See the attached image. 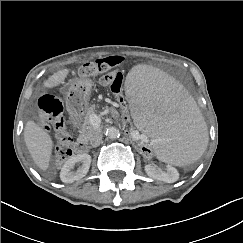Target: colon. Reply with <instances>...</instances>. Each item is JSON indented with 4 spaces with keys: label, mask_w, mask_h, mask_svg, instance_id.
I'll return each mask as SVG.
<instances>
[{
    "label": "colon",
    "mask_w": 243,
    "mask_h": 243,
    "mask_svg": "<svg viewBox=\"0 0 243 243\" xmlns=\"http://www.w3.org/2000/svg\"><path fill=\"white\" fill-rule=\"evenodd\" d=\"M124 63V57L119 55L99 58L94 61L83 64L78 72L81 77H99L101 84L110 87L111 91L117 98V112L120 117L123 128L121 136L130 138L132 136L133 120L130 119V111L127 110L126 100L123 98V74L120 71ZM37 107L40 113L39 124L46 129H52L58 138L57 158L62 162L70 158L73 153L72 138L66 130L63 117V105L59 98L54 95H43L39 98ZM135 152L137 154L146 155L148 160L157 158V151L149 149L144 142L135 144Z\"/></svg>",
    "instance_id": "5ec220e1"
}]
</instances>
